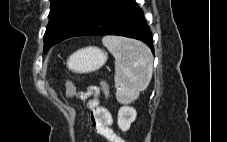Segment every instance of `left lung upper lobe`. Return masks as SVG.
<instances>
[{
	"label": "left lung upper lobe",
	"instance_id": "1",
	"mask_svg": "<svg viewBox=\"0 0 227 142\" xmlns=\"http://www.w3.org/2000/svg\"><path fill=\"white\" fill-rule=\"evenodd\" d=\"M110 0H51L49 24L44 35V52L70 38Z\"/></svg>",
	"mask_w": 227,
	"mask_h": 142
}]
</instances>
